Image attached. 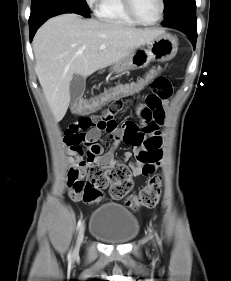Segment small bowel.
I'll use <instances>...</instances> for the list:
<instances>
[{"instance_id":"small-bowel-1","label":"small bowel","mask_w":231,"mask_h":281,"mask_svg":"<svg viewBox=\"0 0 231 281\" xmlns=\"http://www.w3.org/2000/svg\"><path fill=\"white\" fill-rule=\"evenodd\" d=\"M150 87L151 93L138 109L139 124L128 121L118 128L115 116L122 109L121 100L111 102L102 115H90L88 112L69 124L64 144L68 163L67 187L73 200H80L73 193V184L82 181L89 168L99 166L109 169L129 163L130 172L135 177L148 176L158 169L162 159L160 127L165 122V109L172 90L170 82L163 76L156 77ZM102 132L112 141V148L106 152L99 142ZM122 142L133 147L135 162L130 163V152L121 159L115 158V150Z\"/></svg>"}]
</instances>
